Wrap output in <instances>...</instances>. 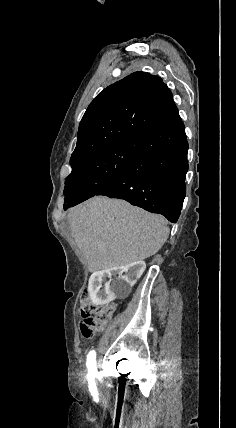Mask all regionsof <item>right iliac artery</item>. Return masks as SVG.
<instances>
[{"label":"right iliac artery","instance_id":"obj_1","mask_svg":"<svg viewBox=\"0 0 236 428\" xmlns=\"http://www.w3.org/2000/svg\"><path fill=\"white\" fill-rule=\"evenodd\" d=\"M86 366L88 368L89 374H97V366H96V352L94 350L90 351L87 355Z\"/></svg>","mask_w":236,"mask_h":428}]
</instances>
